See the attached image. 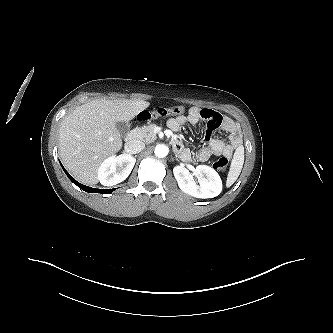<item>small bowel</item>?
Returning a JSON list of instances; mask_svg holds the SVG:
<instances>
[{"label": "small bowel", "mask_w": 333, "mask_h": 333, "mask_svg": "<svg viewBox=\"0 0 333 333\" xmlns=\"http://www.w3.org/2000/svg\"><path fill=\"white\" fill-rule=\"evenodd\" d=\"M200 121L206 123L204 135L205 146L196 153L197 160L205 162L212 156L220 155L231 158L234 152L242 144V134L239 125L231 118L225 117L210 108L192 107L186 115H179L175 118H171L168 120L167 124L171 130L177 131L187 122L195 125ZM219 128L229 134L228 142L212 136L213 132ZM174 146L180 151L181 156L184 159H191L190 150L185 149L180 141L176 140Z\"/></svg>", "instance_id": "obj_1"}]
</instances>
